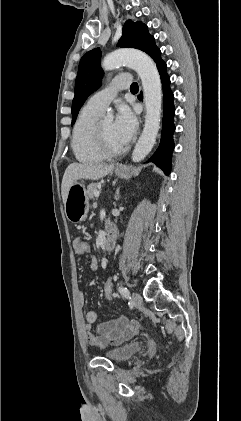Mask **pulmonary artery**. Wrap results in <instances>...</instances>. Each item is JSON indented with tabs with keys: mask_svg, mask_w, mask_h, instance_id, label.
Listing matches in <instances>:
<instances>
[{
	"mask_svg": "<svg viewBox=\"0 0 241 421\" xmlns=\"http://www.w3.org/2000/svg\"><path fill=\"white\" fill-rule=\"evenodd\" d=\"M131 79L128 75L115 77L112 82L101 91L95 93L87 102V106L100 113L104 112L119 90L130 86Z\"/></svg>",
	"mask_w": 241,
	"mask_h": 421,
	"instance_id": "1",
	"label": "pulmonary artery"
}]
</instances>
